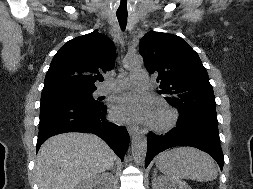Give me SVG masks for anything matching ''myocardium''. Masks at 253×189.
Here are the masks:
<instances>
[{
    "instance_id": "f54148a6",
    "label": "myocardium",
    "mask_w": 253,
    "mask_h": 189,
    "mask_svg": "<svg viewBox=\"0 0 253 189\" xmlns=\"http://www.w3.org/2000/svg\"><path fill=\"white\" fill-rule=\"evenodd\" d=\"M152 119L149 122L150 128L159 133L168 132L173 129L179 119L178 111L165 102H159L156 107Z\"/></svg>"
}]
</instances>
